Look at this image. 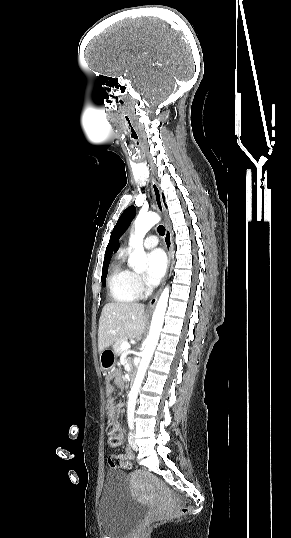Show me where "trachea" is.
Returning <instances> with one entry per match:
<instances>
[{
  "instance_id": "obj_1",
  "label": "trachea",
  "mask_w": 291,
  "mask_h": 538,
  "mask_svg": "<svg viewBox=\"0 0 291 538\" xmlns=\"http://www.w3.org/2000/svg\"><path fill=\"white\" fill-rule=\"evenodd\" d=\"M157 231L161 236L165 235V228H164L163 225H159L158 228H157Z\"/></svg>"
}]
</instances>
